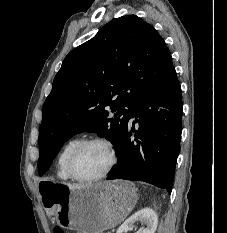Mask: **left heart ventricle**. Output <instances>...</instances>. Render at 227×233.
<instances>
[{"label": "left heart ventricle", "mask_w": 227, "mask_h": 233, "mask_svg": "<svg viewBox=\"0 0 227 233\" xmlns=\"http://www.w3.org/2000/svg\"><path fill=\"white\" fill-rule=\"evenodd\" d=\"M107 150L99 144L83 147L73 159V171L79 177H91L100 174L108 165Z\"/></svg>", "instance_id": "obj_1"}]
</instances>
